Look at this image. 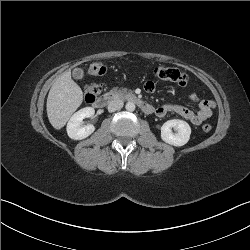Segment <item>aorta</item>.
Masks as SVG:
<instances>
[{"label": "aorta", "mask_w": 250, "mask_h": 250, "mask_svg": "<svg viewBox=\"0 0 250 250\" xmlns=\"http://www.w3.org/2000/svg\"><path fill=\"white\" fill-rule=\"evenodd\" d=\"M125 108L129 112H133L135 110V104L133 102L129 101L126 103Z\"/></svg>", "instance_id": "1"}]
</instances>
